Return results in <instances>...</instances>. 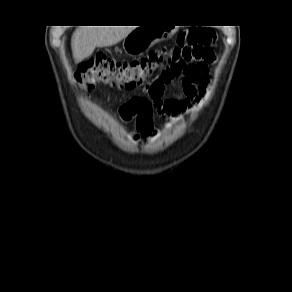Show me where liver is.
<instances>
[{
    "instance_id": "liver-1",
    "label": "liver",
    "mask_w": 292,
    "mask_h": 292,
    "mask_svg": "<svg viewBox=\"0 0 292 292\" xmlns=\"http://www.w3.org/2000/svg\"><path fill=\"white\" fill-rule=\"evenodd\" d=\"M135 29L134 26H82L72 37V51L76 63L92 55L96 47L111 46Z\"/></svg>"
}]
</instances>
